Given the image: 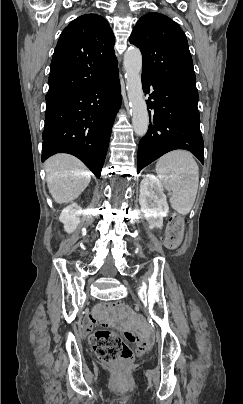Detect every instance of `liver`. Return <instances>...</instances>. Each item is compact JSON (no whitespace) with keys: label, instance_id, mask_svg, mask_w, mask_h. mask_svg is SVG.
<instances>
[{"label":"liver","instance_id":"obj_1","mask_svg":"<svg viewBox=\"0 0 243 404\" xmlns=\"http://www.w3.org/2000/svg\"><path fill=\"white\" fill-rule=\"evenodd\" d=\"M45 170L49 194L57 204H69L79 198L91 180L90 170L69 154L52 156L46 160Z\"/></svg>","mask_w":243,"mask_h":404}]
</instances>
